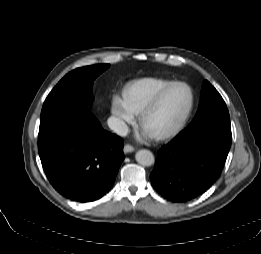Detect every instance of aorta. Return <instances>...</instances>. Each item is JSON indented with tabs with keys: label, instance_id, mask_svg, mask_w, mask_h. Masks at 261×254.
<instances>
[{
	"label": "aorta",
	"instance_id": "762f6f07",
	"mask_svg": "<svg viewBox=\"0 0 261 254\" xmlns=\"http://www.w3.org/2000/svg\"><path fill=\"white\" fill-rule=\"evenodd\" d=\"M135 159L139 164L143 166H151L155 162L153 153L146 149L137 151Z\"/></svg>",
	"mask_w": 261,
	"mask_h": 254
}]
</instances>
